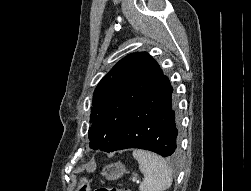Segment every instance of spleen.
Segmentation results:
<instances>
[{
    "label": "spleen",
    "mask_w": 251,
    "mask_h": 191,
    "mask_svg": "<svg viewBox=\"0 0 251 191\" xmlns=\"http://www.w3.org/2000/svg\"><path fill=\"white\" fill-rule=\"evenodd\" d=\"M133 157L139 163V169L144 175L139 185L140 191H165L172 183V171L163 157L146 151V149H134Z\"/></svg>",
    "instance_id": "1"
}]
</instances>
